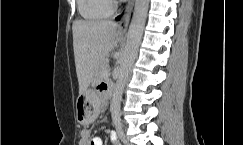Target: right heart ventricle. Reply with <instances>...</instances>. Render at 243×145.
Returning <instances> with one entry per match:
<instances>
[{
  "label": "right heart ventricle",
  "instance_id": "e07e8e85",
  "mask_svg": "<svg viewBox=\"0 0 243 145\" xmlns=\"http://www.w3.org/2000/svg\"><path fill=\"white\" fill-rule=\"evenodd\" d=\"M80 15L88 21H97L113 13L111 0H77Z\"/></svg>",
  "mask_w": 243,
  "mask_h": 145
}]
</instances>
